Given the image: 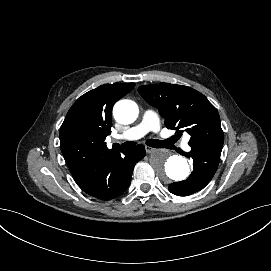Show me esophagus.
<instances>
[{
	"mask_svg": "<svg viewBox=\"0 0 271 271\" xmlns=\"http://www.w3.org/2000/svg\"><path fill=\"white\" fill-rule=\"evenodd\" d=\"M145 150L147 153H152V152H155L157 149L150 146H145Z\"/></svg>",
	"mask_w": 271,
	"mask_h": 271,
	"instance_id": "esophagus-1",
	"label": "esophagus"
}]
</instances>
